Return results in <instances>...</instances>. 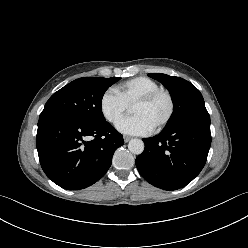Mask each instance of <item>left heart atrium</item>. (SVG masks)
Masks as SVG:
<instances>
[{"label":"left heart atrium","instance_id":"obj_1","mask_svg":"<svg viewBox=\"0 0 248 248\" xmlns=\"http://www.w3.org/2000/svg\"><path fill=\"white\" fill-rule=\"evenodd\" d=\"M117 129L128 135H147L153 130L150 124L140 115L122 119L117 124Z\"/></svg>","mask_w":248,"mask_h":248}]
</instances>
